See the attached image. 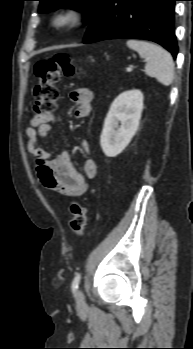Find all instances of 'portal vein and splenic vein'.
Returning a JSON list of instances; mask_svg holds the SVG:
<instances>
[{"label":"portal vein and splenic vein","mask_w":193,"mask_h":349,"mask_svg":"<svg viewBox=\"0 0 193 349\" xmlns=\"http://www.w3.org/2000/svg\"><path fill=\"white\" fill-rule=\"evenodd\" d=\"M127 72H131L132 70H133V66H129V67H127Z\"/></svg>","instance_id":"18ae733b"}]
</instances>
